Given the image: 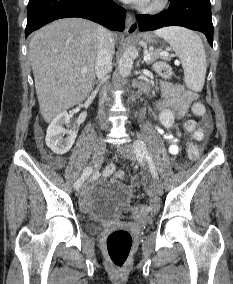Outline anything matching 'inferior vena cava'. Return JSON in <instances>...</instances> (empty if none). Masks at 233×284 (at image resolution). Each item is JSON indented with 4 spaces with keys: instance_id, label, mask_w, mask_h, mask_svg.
<instances>
[{
    "instance_id": "inferior-vena-cava-1",
    "label": "inferior vena cava",
    "mask_w": 233,
    "mask_h": 284,
    "mask_svg": "<svg viewBox=\"0 0 233 284\" xmlns=\"http://www.w3.org/2000/svg\"><path fill=\"white\" fill-rule=\"evenodd\" d=\"M115 51V43L112 33L102 26L97 28V59L95 73L98 81L104 82L112 69V57ZM107 98L105 88H102L99 99V116L104 115L102 104ZM105 125V124H104Z\"/></svg>"
}]
</instances>
